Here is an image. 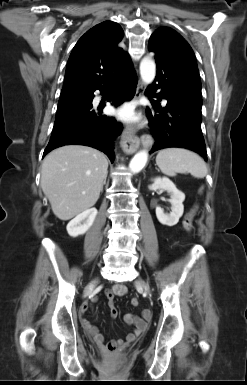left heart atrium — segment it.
I'll return each instance as SVG.
<instances>
[{
	"label": "left heart atrium",
	"instance_id": "left-heart-atrium-1",
	"mask_svg": "<svg viewBox=\"0 0 247 385\" xmlns=\"http://www.w3.org/2000/svg\"><path fill=\"white\" fill-rule=\"evenodd\" d=\"M117 115L120 116L121 118L125 119V120L135 119L133 109L130 106H125V107L121 108L119 111H117Z\"/></svg>",
	"mask_w": 247,
	"mask_h": 385
}]
</instances>
